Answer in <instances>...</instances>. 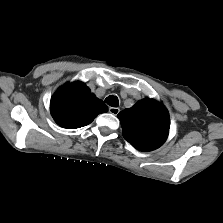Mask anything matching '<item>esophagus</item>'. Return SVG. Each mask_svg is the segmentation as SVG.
I'll return each mask as SVG.
<instances>
[{
    "label": "esophagus",
    "mask_w": 223,
    "mask_h": 223,
    "mask_svg": "<svg viewBox=\"0 0 223 223\" xmlns=\"http://www.w3.org/2000/svg\"><path fill=\"white\" fill-rule=\"evenodd\" d=\"M109 112L112 114V115H117L119 112H120V109L117 108V107H109Z\"/></svg>",
    "instance_id": "esophagus-1"
}]
</instances>
